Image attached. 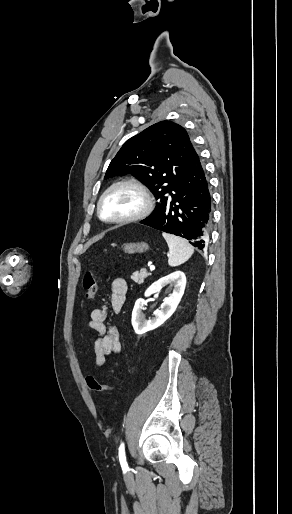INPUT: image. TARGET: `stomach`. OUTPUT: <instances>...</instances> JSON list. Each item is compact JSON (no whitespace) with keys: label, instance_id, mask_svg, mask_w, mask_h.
Here are the masks:
<instances>
[{"label":"stomach","instance_id":"0dacf381","mask_svg":"<svg viewBox=\"0 0 292 514\" xmlns=\"http://www.w3.org/2000/svg\"><path fill=\"white\" fill-rule=\"evenodd\" d=\"M149 250L148 244L140 242V244H124V252L126 254H134V252H146Z\"/></svg>","mask_w":292,"mask_h":514}]
</instances>
